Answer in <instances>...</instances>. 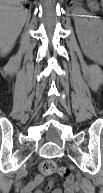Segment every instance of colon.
<instances>
[{"label": "colon", "instance_id": "colon-1", "mask_svg": "<svg viewBox=\"0 0 103 193\" xmlns=\"http://www.w3.org/2000/svg\"><path fill=\"white\" fill-rule=\"evenodd\" d=\"M39 171L46 176L58 174L62 178L68 179L71 177V172L66 167H58L53 160H44L39 165Z\"/></svg>", "mask_w": 103, "mask_h": 193}]
</instances>
